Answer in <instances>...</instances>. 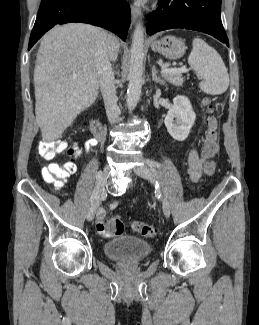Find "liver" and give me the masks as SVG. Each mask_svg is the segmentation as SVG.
<instances>
[{
    "mask_svg": "<svg viewBox=\"0 0 259 325\" xmlns=\"http://www.w3.org/2000/svg\"><path fill=\"white\" fill-rule=\"evenodd\" d=\"M102 31L88 24L56 26L44 35L34 68L35 114L47 142L60 138L99 93L94 70ZM110 59L116 61L119 41L109 35Z\"/></svg>",
    "mask_w": 259,
    "mask_h": 325,
    "instance_id": "obj_1",
    "label": "liver"
}]
</instances>
